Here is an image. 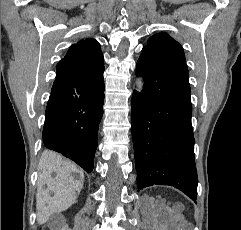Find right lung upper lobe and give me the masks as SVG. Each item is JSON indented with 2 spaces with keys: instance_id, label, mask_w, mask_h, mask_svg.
Segmentation results:
<instances>
[{
  "instance_id": "cb5924a9",
  "label": "right lung upper lobe",
  "mask_w": 241,
  "mask_h": 230,
  "mask_svg": "<svg viewBox=\"0 0 241 230\" xmlns=\"http://www.w3.org/2000/svg\"><path fill=\"white\" fill-rule=\"evenodd\" d=\"M60 62H68L73 68L99 72L104 70V59L100 44L92 39L73 44Z\"/></svg>"
}]
</instances>
